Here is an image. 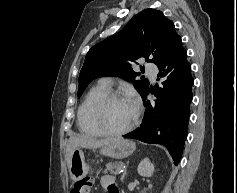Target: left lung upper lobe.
Masks as SVG:
<instances>
[{
    "mask_svg": "<svg viewBox=\"0 0 237 193\" xmlns=\"http://www.w3.org/2000/svg\"><path fill=\"white\" fill-rule=\"evenodd\" d=\"M179 39L173 22L161 11L143 10L120 32L89 50L79 75L78 97L89 82L100 76H119L131 81L142 96L149 82L136 80L139 73L132 70L131 64L144 57L157 65Z\"/></svg>",
    "mask_w": 237,
    "mask_h": 193,
    "instance_id": "1",
    "label": "left lung upper lobe"
}]
</instances>
